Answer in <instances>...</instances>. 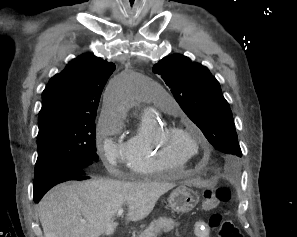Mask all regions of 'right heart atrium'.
Segmentation results:
<instances>
[{
  "label": "right heart atrium",
  "mask_w": 297,
  "mask_h": 237,
  "mask_svg": "<svg viewBox=\"0 0 297 237\" xmlns=\"http://www.w3.org/2000/svg\"><path fill=\"white\" fill-rule=\"evenodd\" d=\"M121 122L111 109H104L97 126V148L109 170L116 172L126 161V144L120 139Z\"/></svg>",
  "instance_id": "obj_1"
}]
</instances>
